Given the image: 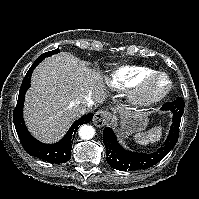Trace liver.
Instances as JSON below:
<instances>
[{"mask_svg": "<svg viewBox=\"0 0 199 199\" xmlns=\"http://www.w3.org/2000/svg\"><path fill=\"white\" fill-rule=\"evenodd\" d=\"M103 78L66 52L44 60L25 96L24 117L31 134L45 143L58 140L80 116L78 105L105 101Z\"/></svg>", "mask_w": 199, "mask_h": 199, "instance_id": "1", "label": "liver"}]
</instances>
